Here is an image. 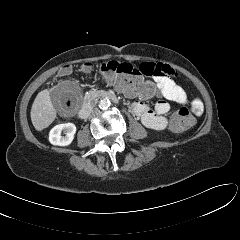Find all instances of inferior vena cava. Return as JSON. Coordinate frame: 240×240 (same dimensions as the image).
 I'll list each match as a JSON object with an SVG mask.
<instances>
[{"label": "inferior vena cava", "mask_w": 240, "mask_h": 240, "mask_svg": "<svg viewBox=\"0 0 240 240\" xmlns=\"http://www.w3.org/2000/svg\"><path fill=\"white\" fill-rule=\"evenodd\" d=\"M93 112V108L91 106L84 107L81 110V114L83 118L89 117V115Z\"/></svg>", "instance_id": "602c4592"}]
</instances>
